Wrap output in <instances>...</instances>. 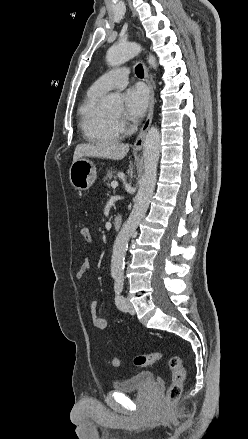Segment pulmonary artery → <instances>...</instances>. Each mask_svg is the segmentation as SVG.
<instances>
[{"label": "pulmonary artery", "instance_id": "e3ab8cb5", "mask_svg": "<svg viewBox=\"0 0 248 439\" xmlns=\"http://www.w3.org/2000/svg\"><path fill=\"white\" fill-rule=\"evenodd\" d=\"M127 82L128 70L126 68H118L99 77L90 87V90L103 94L111 89L122 88Z\"/></svg>", "mask_w": 248, "mask_h": 439}]
</instances>
